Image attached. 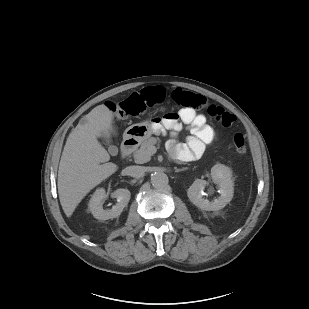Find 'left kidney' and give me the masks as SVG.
Returning <instances> with one entry per match:
<instances>
[{
	"label": "left kidney",
	"instance_id": "obj_1",
	"mask_svg": "<svg viewBox=\"0 0 309 309\" xmlns=\"http://www.w3.org/2000/svg\"><path fill=\"white\" fill-rule=\"evenodd\" d=\"M212 181L218 185L220 197L209 201L203 198V193L208 182L196 179L187 191L189 200L201 210L217 211L224 208L233 198L234 183L232 171L223 164H216L211 168Z\"/></svg>",
	"mask_w": 309,
	"mask_h": 309
}]
</instances>
